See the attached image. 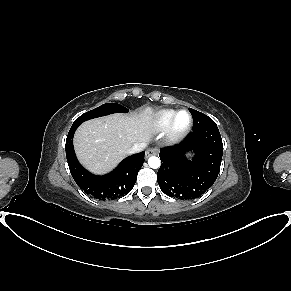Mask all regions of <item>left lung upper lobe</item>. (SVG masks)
<instances>
[{
	"instance_id": "5c2ea615",
	"label": "left lung upper lobe",
	"mask_w": 291,
	"mask_h": 291,
	"mask_svg": "<svg viewBox=\"0 0 291 291\" xmlns=\"http://www.w3.org/2000/svg\"><path fill=\"white\" fill-rule=\"evenodd\" d=\"M189 111L193 117V129L195 130L204 128L211 124H216L210 117L201 112H198L191 108H189Z\"/></svg>"
}]
</instances>
